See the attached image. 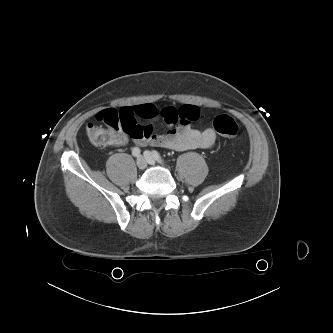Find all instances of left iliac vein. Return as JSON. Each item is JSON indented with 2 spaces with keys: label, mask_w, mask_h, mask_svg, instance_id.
Returning a JSON list of instances; mask_svg holds the SVG:
<instances>
[{
  "label": "left iliac vein",
  "mask_w": 333,
  "mask_h": 333,
  "mask_svg": "<svg viewBox=\"0 0 333 333\" xmlns=\"http://www.w3.org/2000/svg\"><path fill=\"white\" fill-rule=\"evenodd\" d=\"M148 164L150 165H154L155 164V159L151 156V154L149 153L147 156H145Z\"/></svg>",
  "instance_id": "4c4485c4"
}]
</instances>
